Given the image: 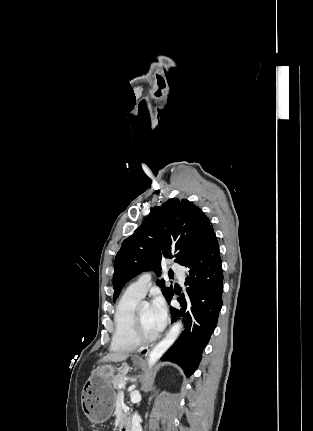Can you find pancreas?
Listing matches in <instances>:
<instances>
[{
  "mask_svg": "<svg viewBox=\"0 0 313 431\" xmlns=\"http://www.w3.org/2000/svg\"><path fill=\"white\" fill-rule=\"evenodd\" d=\"M125 373L121 372L112 378V384L115 390L119 391V384L124 382ZM125 418V416H124Z\"/></svg>",
  "mask_w": 313,
  "mask_h": 431,
  "instance_id": "pancreas-1",
  "label": "pancreas"
}]
</instances>
